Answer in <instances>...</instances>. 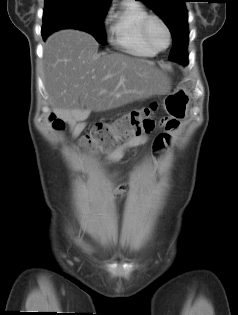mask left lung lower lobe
<instances>
[{"label": "left lung lower lobe", "mask_w": 238, "mask_h": 315, "mask_svg": "<svg viewBox=\"0 0 238 315\" xmlns=\"http://www.w3.org/2000/svg\"><path fill=\"white\" fill-rule=\"evenodd\" d=\"M172 38L173 46L171 49L170 56L174 58L177 62L186 64L188 59L187 54L188 38L180 33L172 35Z\"/></svg>", "instance_id": "1"}]
</instances>
